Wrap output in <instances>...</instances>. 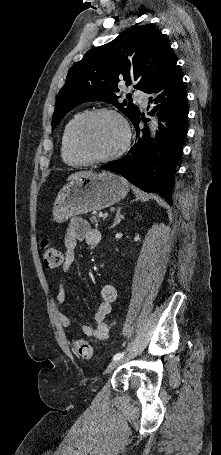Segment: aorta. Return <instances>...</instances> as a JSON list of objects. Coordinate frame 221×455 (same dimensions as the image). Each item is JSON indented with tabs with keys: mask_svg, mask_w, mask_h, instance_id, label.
Returning <instances> with one entry per match:
<instances>
[{
	"mask_svg": "<svg viewBox=\"0 0 221 455\" xmlns=\"http://www.w3.org/2000/svg\"><path fill=\"white\" fill-rule=\"evenodd\" d=\"M157 130H158V122H157V120L155 118L150 123V133H151L152 137L155 135Z\"/></svg>",
	"mask_w": 221,
	"mask_h": 455,
	"instance_id": "obj_1",
	"label": "aorta"
}]
</instances>
